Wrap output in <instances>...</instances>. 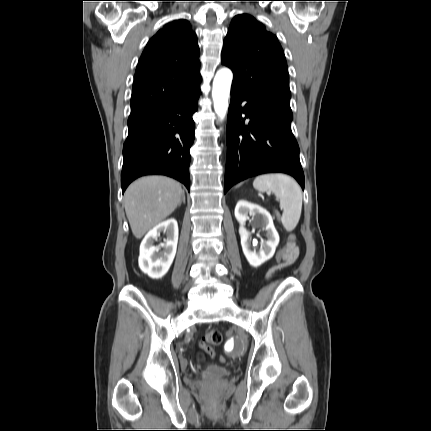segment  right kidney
<instances>
[{"instance_id": "1", "label": "right kidney", "mask_w": 431, "mask_h": 431, "mask_svg": "<svg viewBox=\"0 0 431 431\" xmlns=\"http://www.w3.org/2000/svg\"><path fill=\"white\" fill-rule=\"evenodd\" d=\"M160 233L166 235L165 243L154 246ZM177 243L178 224L175 219H169L155 226L147 233L140 245L138 263L141 271L153 279L162 278L172 265ZM161 248H163L162 251Z\"/></svg>"}]
</instances>
